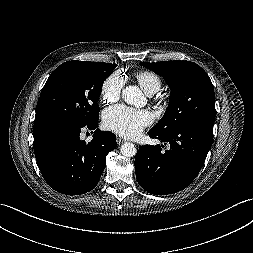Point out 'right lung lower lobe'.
Segmentation results:
<instances>
[{
  "mask_svg": "<svg viewBox=\"0 0 253 253\" xmlns=\"http://www.w3.org/2000/svg\"><path fill=\"white\" fill-rule=\"evenodd\" d=\"M87 125L51 119L34 124V152L48 185L59 193L78 195L91 191L106 165V156L117 146L116 135ZM94 130L93 139H80L83 129ZM93 133V131H92Z\"/></svg>",
  "mask_w": 253,
  "mask_h": 253,
  "instance_id": "98d812e1",
  "label": "right lung lower lobe"
}]
</instances>
